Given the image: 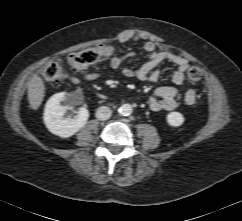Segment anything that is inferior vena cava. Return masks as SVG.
<instances>
[{"instance_id": "obj_1", "label": "inferior vena cava", "mask_w": 242, "mask_h": 221, "mask_svg": "<svg viewBox=\"0 0 242 221\" xmlns=\"http://www.w3.org/2000/svg\"><path fill=\"white\" fill-rule=\"evenodd\" d=\"M112 110L107 106H101L96 110V118L99 120H107L111 117Z\"/></svg>"}]
</instances>
